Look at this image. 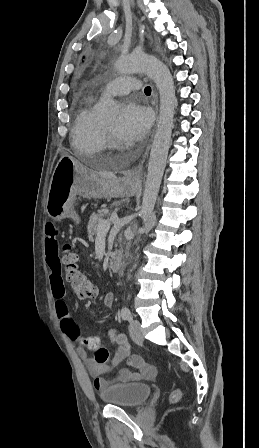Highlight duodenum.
<instances>
[{"mask_svg":"<svg viewBox=\"0 0 259 448\" xmlns=\"http://www.w3.org/2000/svg\"><path fill=\"white\" fill-rule=\"evenodd\" d=\"M123 266V256L120 252L111 262L110 269L112 272H119Z\"/></svg>","mask_w":259,"mask_h":448,"instance_id":"obj_1","label":"duodenum"}]
</instances>
